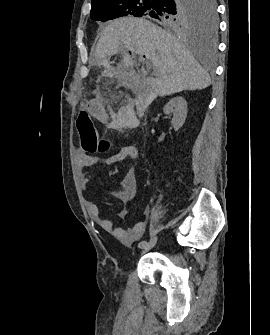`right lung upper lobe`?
I'll use <instances>...</instances> for the list:
<instances>
[{
    "instance_id": "cb5924a9",
    "label": "right lung upper lobe",
    "mask_w": 270,
    "mask_h": 335,
    "mask_svg": "<svg viewBox=\"0 0 270 335\" xmlns=\"http://www.w3.org/2000/svg\"><path fill=\"white\" fill-rule=\"evenodd\" d=\"M104 1H106V0H92V5H97V4L102 3Z\"/></svg>"
}]
</instances>
